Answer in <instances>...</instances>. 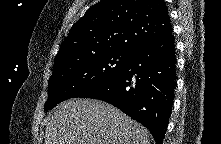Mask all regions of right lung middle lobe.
Here are the masks:
<instances>
[{
    "instance_id": "right-lung-middle-lobe-1",
    "label": "right lung middle lobe",
    "mask_w": 221,
    "mask_h": 144,
    "mask_svg": "<svg viewBox=\"0 0 221 144\" xmlns=\"http://www.w3.org/2000/svg\"><path fill=\"white\" fill-rule=\"evenodd\" d=\"M130 56L124 52L111 51L53 68L44 111L64 100L80 97L107 81L127 63Z\"/></svg>"
}]
</instances>
